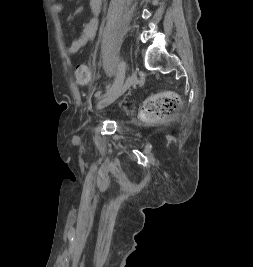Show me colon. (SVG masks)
Wrapping results in <instances>:
<instances>
[{
	"label": "colon",
	"mask_w": 253,
	"mask_h": 267,
	"mask_svg": "<svg viewBox=\"0 0 253 267\" xmlns=\"http://www.w3.org/2000/svg\"><path fill=\"white\" fill-rule=\"evenodd\" d=\"M75 76L78 82L86 83L90 73L86 65L76 67ZM181 106L179 96L174 92H164L150 97L144 104V112L151 118H165L175 114Z\"/></svg>",
	"instance_id": "obj_1"
}]
</instances>
